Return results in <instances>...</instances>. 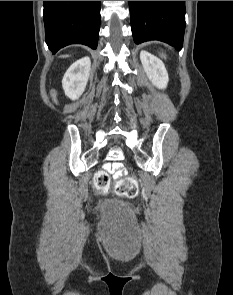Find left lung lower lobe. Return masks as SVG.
Instances as JSON below:
<instances>
[{
    "label": "left lung lower lobe",
    "mask_w": 233,
    "mask_h": 295,
    "mask_svg": "<svg viewBox=\"0 0 233 295\" xmlns=\"http://www.w3.org/2000/svg\"><path fill=\"white\" fill-rule=\"evenodd\" d=\"M129 8L135 43L160 40L181 50L185 1H129Z\"/></svg>",
    "instance_id": "1"
}]
</instances>
